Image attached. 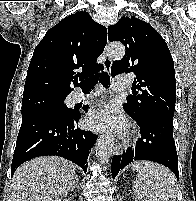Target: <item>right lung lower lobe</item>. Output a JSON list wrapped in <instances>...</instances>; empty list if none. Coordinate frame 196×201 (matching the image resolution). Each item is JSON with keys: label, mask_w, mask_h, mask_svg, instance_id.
<instances>
[{"label": "right lung lower lobe", "mask_w": 196, "mask_h": 201, "mask_svg": "<svg viewBox=\"0 0 196 201\" xmlns=\"http://www.w3.org/2000/svg\"><path fill=\"white\" fill-rule=\"evenodd\" d=\"M80 117L81 114L76 111L68 118L48 113L22 116L12 160V176L25 161L45 155L64 157L86 172L89 150L95 144L97 136L78 128Z\"/></svg>", "instance_id": "obj_1"}]
</instances>
